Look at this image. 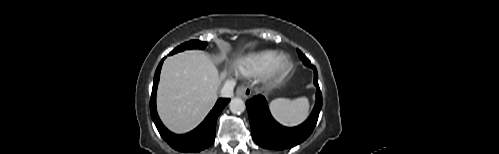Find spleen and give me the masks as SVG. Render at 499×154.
Segmentation results:
<instances>
[{"mask_svg":"<svg viewBox=\"0 0 499 154\" xmlns=\"http://www.w3.org/2000/svg\"><path fill=\"white\" fill-rule=\"evenodd\" d=\"M274 118L283 125L295 126L306 119L309 101L306 97L296 99L278 98L269 104Z\"/></svg>","mask_w":499,"mask_h":154,"instance_id":"1","label":"spleen"}]
</instances>
